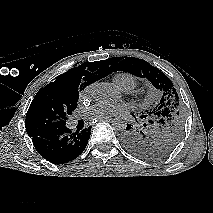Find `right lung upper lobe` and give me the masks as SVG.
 <instances>
[{
	"label": "right lung upper lobe",
	"instance_id": "right-lung-upper-lobe-1",
	"mask_svg": "<svg viewBox=\"0 0 213 213\" xmlns=\"http://www.w3.org/2000/svg\"><path fill=\"white\" fill-rule=\"evenodd\" d=\"M101 61L85 62L59 75L44 88L79 90L105 77L109 73L101 67ZM43 89V88H41Z\"/></svg>",
	"mask_w": 213,
	"mask_h": 213
}]
</instances>
